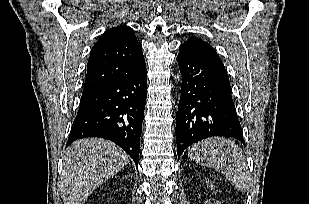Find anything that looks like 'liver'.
Listing matches in <instances>:
<instances>
[{
  "label": "liver",
  "mask_w": 309,
  "mask_h": 204,
  "mask_svg": "<svg viewBox=\"0 0 309 204\" xmlns=\"http://www.w3.org/2000/svg\"><path fill=\"white\" fill-rule=\"evenodd\" d=\"M129 162L113 142L85 138L72 143L63 156L60 178L64 204H85L88 196Z\"/></svg>",
  "instance_id": "liver-1"
}]
</instances>
